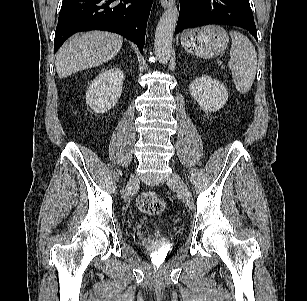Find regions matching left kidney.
Wrapping results in <instances>:
<instances>
[{
  "label": "left kidney",
  "mask_w": 307,
  "mask_h": 301,
  "mask_svg": "<svg viewBox=\"0 0 307 301\" xmlns=\"http://www.w3.org/2000/svg\"><path fill=\"white\" fill-rule=\"evenodd\" d=\"M190 94L200 107L207 112L219 110L228 100V92L225 86L208 75H202L190 84Z\"/></svg>",
  "instance_id": "left-kidney-1"
}]
</instances>
